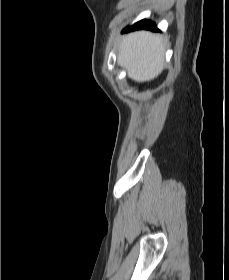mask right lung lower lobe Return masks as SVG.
I'll list each match as a JSON object with an SVG mask.
<instances>
[{
  "label": "right lung lower lobe",
  "mask_w": 229,
  "mask_h": 280,
  "mask_svg": "<svg viewBox=\"0 0 229 280\" xmlns=\"http://www.w3.org/2000/svg\"><path fill=\"white\" fill-rule=\"evenodd\" d=\"M138 29H148V30H158L156 25L149 20H141L137 23H135L134 25H132L131 27H127L124 32L126 31H133V30H138Z\"/></svg>",
  "instance_id": "98d812e1"
}]
</instances>
